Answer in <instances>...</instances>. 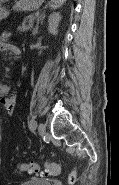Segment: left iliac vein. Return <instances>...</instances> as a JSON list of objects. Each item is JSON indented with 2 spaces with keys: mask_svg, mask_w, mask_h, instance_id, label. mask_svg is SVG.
Returning a JSON list of instances; mask_svg holds the SVG:
<instances>
[{
  "mask_svg": "<svg viewBox=\"0 0 119 185\" xmlns=\"http://www.w3.org/2000/svg\"><path fill=\"white\" fill-rule=\"evenodd\" d=\"M38 134L40 136H44L46 134V128L42 123L38 126Z\"/></svg>",
  "mask_w": 119,
  "mask_h": 185,
  "instance_id": "obj_1",
  "label": "left iliac vein"
}]
</instances>
